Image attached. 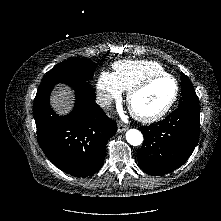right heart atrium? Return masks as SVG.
Listing matches in <instances>:
<instances>
[{
    "mask_svg": "<svg viewBox=\"0 0 221 221\" xmlns=\"http://www.w3.org/2000/svg\"><path fill=\"white\" fill-rule=\"evenodd\" d=\"M99 94L106 100L119 98L122 90L117 84L113 73L102 72L97 80Z\"/></svg>",
    "mask_w": 221,
    "mask_h": 221,
    "instance_id": "1",
    "label": "right heart atrium"
}]
</instances>
